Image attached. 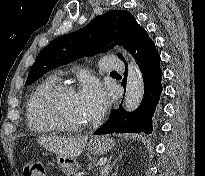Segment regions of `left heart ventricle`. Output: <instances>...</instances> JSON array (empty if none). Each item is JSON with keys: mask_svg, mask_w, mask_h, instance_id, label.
I'll use <instances>...</instances> for the list:
<instances>
[{"mask_svg": "<svg viewBox=\"0 0 205 176\" xmlns=\"http://www.w3.org/2000/svg\"><path fill=\"white\" fill-rule=\"evenodd\" d=\"M54 111L64 123L82 124L89 120L76 93H68L60 96L54 102Z\"/></svg>", "mask_w": 205, "mask_h": 176, "instance_id": "left-heart-ventricle-1", "label": "left heart ventricle"}]
</instances>
